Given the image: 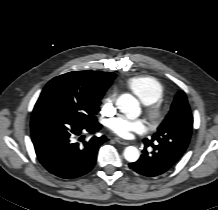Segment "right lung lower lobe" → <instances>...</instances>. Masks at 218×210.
Here are the masks:
<instances>
[{
	"label": "right lung lower lobe",
	"mask_w": 218,
	"mask_h": 210,
	"mask_svg": "<svg viewBox=\"0 0 218 210\" xmlns=\"http://www.w3.org/2000/svg\"><path fill=\"white\" fill-rule=\"evenodd\" d=\"M95 121L85 123L58 112L32 113L31 139L39 162L51 174L74 179L88 173L95 165L105 136L83 141L84 132L94 134L101 129ZM80 138L77 141V138Z\"/></svg>",
	"instance_id": "obj_1"
}]
</instances>
